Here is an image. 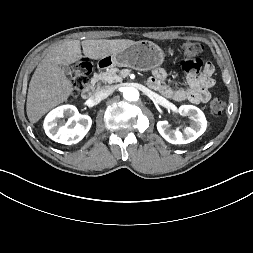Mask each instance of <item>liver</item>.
I'll return each instance as SVG.
<instances>
[{
	"label": "liver",
	"mask_w": 253,
	"mask_h": 253,
	"mask_svg": "<svg viewBox=\"0 0 253 253\" xmlns=\"http://www.w3.org/2000/svg\"><path fill=\"white\" fill-rule=\"evenodd\" d=\"M134 43L129 39L65 40L51 47L38 64L29 84L26 104L29 121L36 123L49 110L68 99L73 85L61 66L80 60L81 45L87 58L101 59Z\"/></svg>",
	"instance_id": "obj_1"
}]
</instances>
